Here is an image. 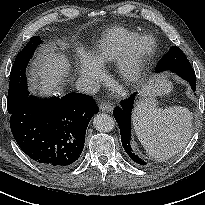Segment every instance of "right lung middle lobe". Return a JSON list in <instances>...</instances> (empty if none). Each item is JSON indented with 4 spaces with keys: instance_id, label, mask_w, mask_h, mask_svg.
<instances>
[{
    "instance_id": "1",
    "label": "right lung middle lobe",
    "mask_w": 205,
    "mask_h": 205,
    "mask_svg": "<svg viewBox=\"0 0 205 205\" xmlns=\"http://www.w3.org/2000/svg\"><path fill=\"white\" fill-rule=\"evenodd\" d=\"M41 42L40 37H32L24 49L16 56L10 73V85L7 97V110L10 114L15 112L29 97L25 69L30 58L33 56L35 48Z\"/></svg>"
}]
</instances>
